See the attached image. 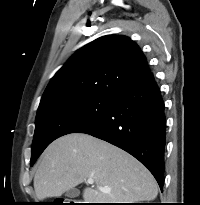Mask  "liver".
Returning a JSON list of instances; mask_svg holds the SVG:
<instances>
[{"label": "liver", "instance_id": "liver-1", "mask_svg": "<svg viewBox=\"0 0 200 205\" xmlns=\"http://www.w3.org/2000/svg\"><path fill=\"white\" fill-rule=\"evenodd\" d=\"M88 179L95 185L84 189L86 203L151 201L158 194L156 180L137 159L82 133L64 135L46 148L34 176V189L37 198L44 200L58 197Z\"/></svg>", "mask_w": 200, "mask_h": 205}]
</instances>
